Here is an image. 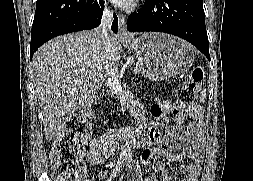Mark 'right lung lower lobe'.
Wrapping results in <instances>:
<instances>
[{"label": "right lung lower lobe", "mask_w": 253, "mask_h": 181, "mask_svg": "<svg viewBox=\"0 0 253 181\" xmlns=\"http://www.w3.org/2000/svg\"><path fill=\"white\" fill-rule=\"evenodd\" d=\"M104 5L97 0H37L31 32L30 59L49 39L100 25ZM114 14L112 30L117 33Z\"/></svg>", "instance_id": "right-lung-lower-lobe-1"}]
</instances>
